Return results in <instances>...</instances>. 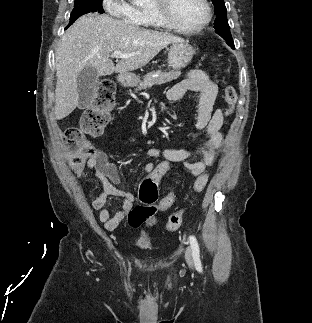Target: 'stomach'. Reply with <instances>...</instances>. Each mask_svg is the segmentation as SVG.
Returning <instances> with one entry per match:
<instances>
[{"instance_id": "obj_1", "label": "stomach", "mask_w": 312, "mask_h": 323, "mask_svg": "<svg viewBox=\"0 0 312 323\" xmlns=\"http://www.w3.org/2000/svg\"><path fill=\"white\" fill-rule=\"evenodd\" d=\"M195 54V48H192L188 42L180 40V42H173L170 46L168 54V64L173 70H181V68H186L189 62H191ZM120 80L125 86H137L140 82L139 76L136 74H131V72H126V74H121Z\"/></svg>"}]
</instances>
